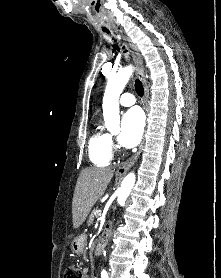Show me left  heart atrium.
Returning a JSON list of instances; mask_svg holds the SVG:
<instances>
[{
	"label": "left heart atrium",
	"instance_id": "39dd6f15",
	"mask_svg": "<svg viewBox=\"0 0 221 278\" xmlns=\"http://www.w3.org/2000/svg\"><path fill=\"white\" fill-rule=\"evenodd\" d=\"M144 129V115L138 108L128 110L122 118V130L119 142L127 148L136 146L142 137Z\"/></svg>",
	"mask_w": 221,
	"mask_h": 278
}]
</instances>
